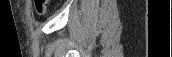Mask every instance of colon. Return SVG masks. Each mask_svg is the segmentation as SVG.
<instances>
[{
	"label": "colon",
	"mask_w": 172,
	"mask_h": 57,
	"mask_svg": "<svg viewBox=\"0 0 172 57\" xmlns=\"http://www.w3.org/2000/svg\"><path fill=\"white\" fill-rule=\"evenodd\" d=\"M48 0H35V9L39 15H43L46 11V4Z\"/></svg>",
	"instance_id": "5ec220e1"
}]
</instances>
